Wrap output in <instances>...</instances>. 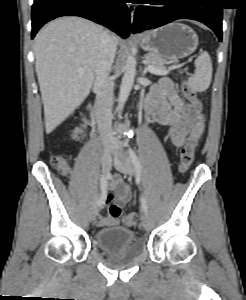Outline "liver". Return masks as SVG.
<instances>
[{
	"label": "liver",
	"mask_w": 246,
	"mask_h": 300,
	"mask_svg": "<svg viewBox=\"0 0 246 300\" xmlns=\"http://www.w3.org/2000/svg\"><path fill=\"white\" fill-rule=\"evenodd\" d=\"M101 26L81 17L50 22L34 40L35 68L44 105L46 133L77 109L90 93ZM116 45L119 40L112 36Z\"/></svg>",
	"instance_id": "liver-1"
}]
</instances>
